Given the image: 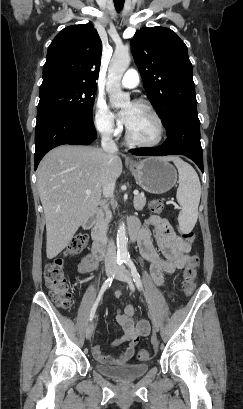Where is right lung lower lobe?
<instances>
[{
	"label": "right lung lower lobe",
	"mask_w": 243,
	"mask_h": 409,
	"mask_svg": "<svg viewBox=\"0 0 243 409\" xmlns=\"http://www.w3.org/2000/svg\"><path fill=\"white\" fill-rule=\"evenodd\" d=\"M97 138L92 120L62 114L37 119L35 128V170L42 157L52 148L63 145H89Z\"/></svg>",
	"instance_id": "right-lung-lower-lobe-1"
}]
</instances>
